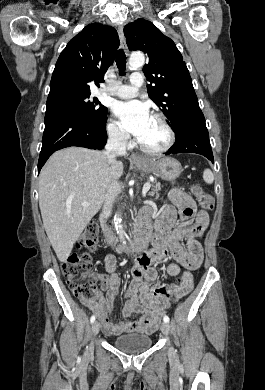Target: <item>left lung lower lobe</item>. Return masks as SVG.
<instances>
[{
  "label": "left lung lower lobe",
  "mask_w": 265,
  "mask_h": 390,
  "mask_svg": "<svg viewBox=\"0 0 265 390\" xmlns=\"http://www.w3.org/2000/svg\"><path fill=\"white\" fill-rule=\"evenodd\" d=\"M176 153H197L214 163L209 133L202 111L194 113L184 123L181 130L176 134L174 145L166 152V155Z\"/></svg>",
  "instance_id": "0a47b994"
}]
</instances>
